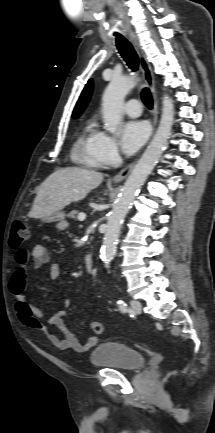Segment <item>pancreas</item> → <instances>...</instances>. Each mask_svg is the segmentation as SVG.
Returning <instances> with one entry per match:
<instances>
[{
	"label": "pancreas",
	"mask_w": 215,
	"mask_h": 433,
	"mask_svg": "<svg viewBox=\"0 0 215 433\" xmlns=\"http://www.w3.org/2000/svg\"><path fill=\"white\" fill-rule=\"evenodd\" d=\"M78 213H79V211H77V210H73V211L68 215V217H69V218H76V216H77Z\"/></svg>",
	"instance_id": "1"
}]
</instances>
